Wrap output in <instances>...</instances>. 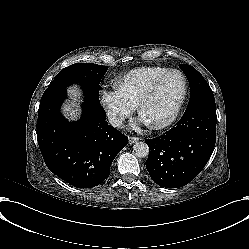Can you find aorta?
I'll use <instances>...</instances> for the list:
<instances>
[{"mask_svg": "<svg viewBox=\"0 0 249 249\" xmlns=\"http://www.w3.org/2000/svg\"><path fill=\"white\" fill-rule=\"evenodd\" d=\"M133 153L136 157L146 158L149 155V146L145 142H135L133 145Z\"/></svg>", "mask_w": 249, "mask_h": 249, "instance_id": "1", "label": "aorta"}]
</instances>
